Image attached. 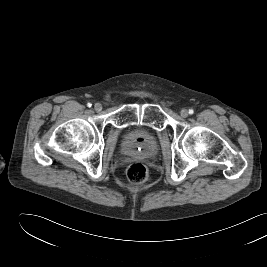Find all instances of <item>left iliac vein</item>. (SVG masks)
I'll list each match as a JSON object with an SVG mask.
<instances>
[{
    "mask_svg": "<svg viewBox=\"0 0 267 267\" xmlns=\"http://www.w3.org/2000/svg\"><path fill=\"white\" fill-rule=\"evenodd\" d=\"M180 114L182 117L186 118L188 116L189 112L187 109H182Z\"/></svg>",
    "mask_w": 267,
    "mask_h": 267,
    "instance_id": "1",
    "label": "left iliac vein"
}]
</instances>
